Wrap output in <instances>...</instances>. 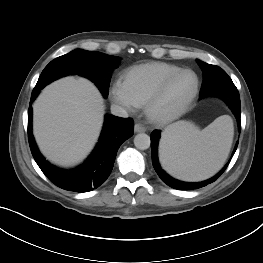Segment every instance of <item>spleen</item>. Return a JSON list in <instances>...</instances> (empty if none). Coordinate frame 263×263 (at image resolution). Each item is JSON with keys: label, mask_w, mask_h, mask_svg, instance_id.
<instances>
[{"label": "spleen", "mask_w": 263, "mask_h": 263, "mask_svg": "<svg viewBox=\"0 0 263 263\" xmlns=\"http://www.w3.org/2000/svg\"><path fill=\"white\" fill-rule=\"evenodd\" d=\"M230 116L216 118L203 130L188 122L170 125L162 134L159 156L164 170L183 181H201L224 164L233 140Z\"/></svg>", "instance_id": "spleen-1"}]
</instances>
